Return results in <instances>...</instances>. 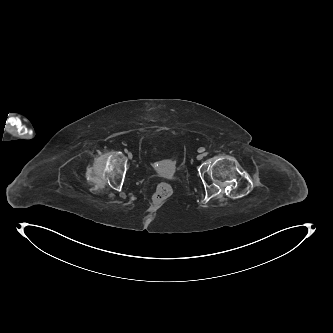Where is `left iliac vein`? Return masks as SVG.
<instances>
[{
  "label": "left iliac vein",
  "instance_id": "left-iliac-vein-1",
  "mask_svg": "<svg viewBox=\"0 0 333 333\" xmlns=\"http://www.w3.org/2000/svg\"><path fill=\"white\" fill-rule=\"evenodd\" d=\"M203 157H204L203 154H199L196 158H197V160H201V159H203Z\"/></svg>",
  "mask_w": 333,
  "mask_h": 333
}]
</instances>
